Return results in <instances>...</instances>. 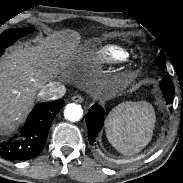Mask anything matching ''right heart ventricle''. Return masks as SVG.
<instances>
[{"instance_id":"e07e8e85","label":"right heart ventricle","mask_w":183,"mask_h":183,"mask_svg":"<svg viewBox=\"0 0 183 183\" xmlns=\"http://www.w3.org/2000/svg\"><path fill=\"white\" fill-rule=\"evenodd\" d=\"M101 55L105 56L109 61L119 62L124 60L128 56V53L120 48L109 47L102 51L93 53L92 55H90V57L101 56Z\"/></svg>"}]
</instances>
